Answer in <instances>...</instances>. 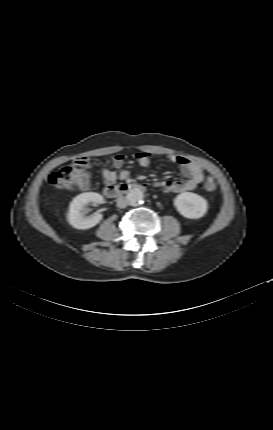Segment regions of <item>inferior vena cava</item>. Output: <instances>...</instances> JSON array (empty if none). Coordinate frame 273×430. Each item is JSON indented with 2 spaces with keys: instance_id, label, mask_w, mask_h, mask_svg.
<instances>
[{
  "instance_id": "1",
  "label": "inferior vena cava",
  "mask_w": 273,
  "mask_h": 430,
  "mask_svg": "<svg viewBox=\"0 0 273 430\" xmlns=\"http://www.w3.org/2000/svg\"><path fill=\"white\" fill-rule=\"evenodd\" d=\"M128 205V202L125 197L121 196L117 199V207L125 208Z\"/></svg>"
}]
</instances>
